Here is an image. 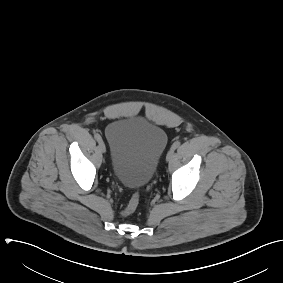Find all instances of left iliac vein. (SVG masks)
Listing matches in <instances>:
<instances>
[{"mask_svg":"<svg viewBox=\"0 0 283 283\" xmlns=\"http://www.w3.org/2000/svg\"><path fill=\"white\" fill-rule=\"evenodd\" d=\"M174 155V150L170 149L166 155L167 161H170Z\"/></svg>","mask_w":283,"mask_h":283,"instance_id":"1","label":"left iliac vein"}]
</instances>
